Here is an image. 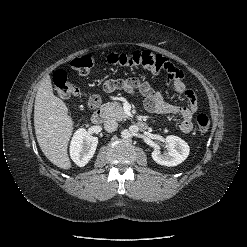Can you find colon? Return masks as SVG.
<instances>
[{"mask_svg":"<svg viewBox=\"0 0 247 247\" xmlns=\"http://www.w3.org/2000/svg\"><path fill=\"white\" fill-rule=\"evenodd\" d=\"M110 64L123 67H140L154 74L166 72L169 80L174 81L182 77V73L176 69L166 58L154 54L148 50L135 51L131 54H111L108 58ZM95 58L92 54H85L71 60L70 66L82 75H85L93 67ZM56 95L63 100L80 97L82 90L73 84L65 71L57 70L53 75ZM197 130L204 134L210 127V120L206 114H199L196 118Z\"/></svg>","mask_w":247,"mask_h":247,"instance_id":"1","label":"colon"}]
</instances>
